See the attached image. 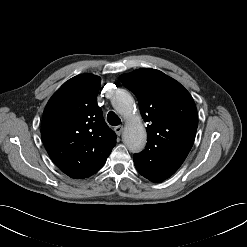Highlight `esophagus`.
Instances as JSON below:
<instances>
[{
	"label": "esophagus",
	"instance_id": "esophagus-1",
	"mask_svg": "<svg viewBox=\"0 0 247 247\" xmlns=\"http://www.w3.org/2000/svg\"><path fill=\"white\" fill-rule=\"evenodd\" d=\"M114 131H115V133H116L118 136H120L121 133H122V131H123V126H116V127L114 128Z\"/></svg>",
	"mask_w": 247,
	"mask_h": 247
}]
</instances>
